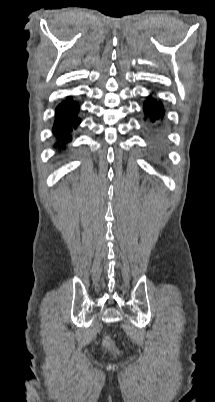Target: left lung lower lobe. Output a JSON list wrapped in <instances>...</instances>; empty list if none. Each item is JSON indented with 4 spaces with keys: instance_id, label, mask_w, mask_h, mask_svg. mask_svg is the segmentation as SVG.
<instances>
[{
    "instance_id": "obj_1",
    "label": "left lung lower lobe",
    "mask_w": 215,
    "mask_h": 402,
    "mask_svg": "<svg viewBox=\"0 0 215 402\" xmlns=\"http://www.w3.org/2000/svg\"><path fill=\"white\" fill-rule=\"evenodd\" d=\"M143 110L145 120H147L149 129L151 131V139L153 141H157L161 138L159 128L164 116L163 104L150 95L147 97V101L144 103Z\"/></svg>"
}]
</instances>
